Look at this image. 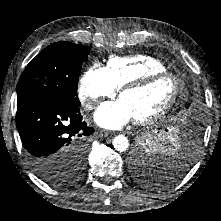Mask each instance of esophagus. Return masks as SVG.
Instances as JSON below:
<instances>
[{"instance_id": "obj_1", "label": "esophagus", "mask_w": 221, "mask_h": 221, "mask_svg": "<svg viewBox=\"0 0 221 221\" xmlns=\"http://www.w3.org/2000/svg\"><path fill=\"white\" fill-rule=\"evenodd\" d=\"M100 134H101L102 136H109V135L111 134V132H108V131H105V130H101V131H100Z\"/></svg>"}]
</instances>
